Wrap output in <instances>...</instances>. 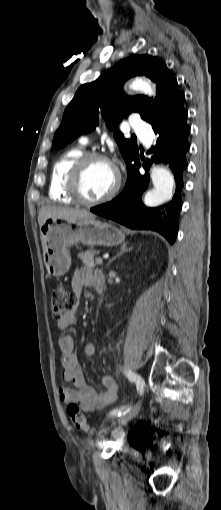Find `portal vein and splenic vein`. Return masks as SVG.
<instances>
[{
    "label": "portal vein and splenic vein",
    "instance_id": "1",
    "mask_svg": "<svg viewBox=\"0 0 221 510\" xmlns=\"http://www.w3.org/2000/svg\"><path fill=\"white\" fill-rule=\"evenodd\" d=\"M96 263L101 265L103 264V259L102 258H96Z\"/></svg>",
    "mask_w": 221,
    "mask_h": 510
}]
</instances>
